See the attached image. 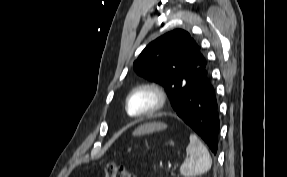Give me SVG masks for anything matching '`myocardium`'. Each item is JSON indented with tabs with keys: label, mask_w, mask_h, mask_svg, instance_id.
<instances>
[{
	"label": "myocardium",
	"mask_w": 287,
	"mask_h": 177,
	"mask_svg": "<svg viewBox=\"0 0 287 177\" xmlns=\"http://www.w3.org/2000/svg\"><path fill=\"white\" fill-rule=\"evenodd\" d=\"M141 91H147L151 93L155 98V102L148 110L142 113H139V114H131L129 111L130 100L134 94L141 92ZM167 102H168V94L161 85L155 82H145V83L135 86L128 93L125 99V111L132 118L143 119V118L150 117L158 113L159 111H161L166 106Z\"/></svg>",
	"instance_id": "obj_1"
}]
</instances>
